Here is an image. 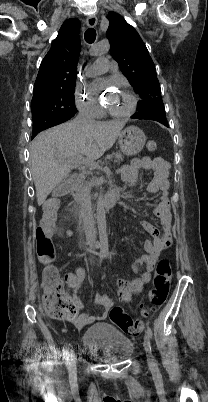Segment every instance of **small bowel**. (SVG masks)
<instances>
[{
  "label": "small bowel",
  "mask_w": 208,
  "mask_h": 402,
  "mask_svg": "<svg viewBox=\"0 0 208 402\" xmlns=\"http://www.w3.org/2000/svg\"><path fill=\"white\" fill-rule=\"evenodd\" d=\"M141 169L153 170L154 175L152 180L148 183L146 190L149 193L160 192V202L154 209V216L160 220L161 229H158L148 221H140V225L148 232L153 234L156 238L153 241L146 243V254L136 261L134 269L139 271L144 267L139 279L133 282L124 280H117L115 282L118 298L121 302L130 300L133 292L141 289L143 284L150 281L151 271L155 265L159 253L172 244V215L169 200V180L168 169L169 164L161 157H143L132 160L129 164L125 165L121 170L122 179L130 187H135L138 183L139 172ZM66 279L72 281V290L75 291L85 277V271L82 267H77L75 272L70 274L69 271L65 272ZM78 309H81V303L74 298ZM95 301L104 309L103 313L97 314L92 317L80 316L77 321L73 322V318L69 315H57L55 322L61 324L64 330H83L86 327L85 323L94 322L101 324L106 318L107 312L113 306V301L109 297L101 294L95 296Z\"/></svg>",
  "instance_id": "small-bowel-1"
}]
</instances>
